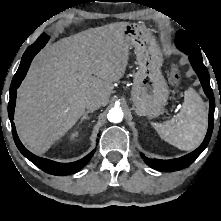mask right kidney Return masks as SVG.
I'll list each match as a JSON object with an SVG mask.
<instances>
[{"label": "right kidney", "instance_id": "ca27d5eb", "mask_svg": "<svg viewBox=\"0 0 221 221\" xmlns=\"http://www.w3.org/2000/svg\"><path fill=\"white\" fill-rule=\"evenodd\" d=\"M77 135H78V132H74V133L71 134L70 138L74 139Z\"/></svg>", "mask_w": 221, "mask_h": 221}]
</instances>
